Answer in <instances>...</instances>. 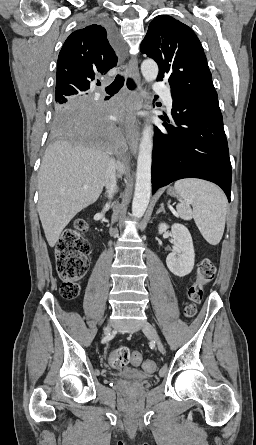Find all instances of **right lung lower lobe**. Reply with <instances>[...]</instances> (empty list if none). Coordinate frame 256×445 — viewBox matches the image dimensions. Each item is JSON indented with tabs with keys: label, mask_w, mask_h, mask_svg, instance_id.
Listing matches in <instances>:
<instances>
[{
	"label": "right lung lower lobe",
	"mask_w": 256,
	"mask_h": 445,
	"mask_svg": "<svg viewBox=\"0 0 256 445\" xmlns=\"http://www.w3.org/2000/svg\"><path fill=\"white\" fill-rule=\"evenodd\" d=\"M115 43L111 26L103 23ZM112 103L92 98L80 100L57 120L59 127L68 132L72 141H82L110 155L123 156L127 152L125 141L116 124L110 119Z\"/></svg>",
	"instance_id": "98d812e1"
}]
</instances>
